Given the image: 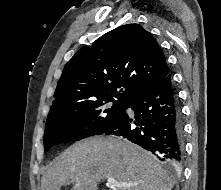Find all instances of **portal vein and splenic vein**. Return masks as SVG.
Returning a JSON list of instances; mask_svg holds the SVG:
<instances>
[{
    "label": "portal vein and splenic vein",
    "mask_w": 221,
    "mask_h": 190,
    "mask_svg": "<svg viewBox=\"0 0 221 190\" xmlns=\"http://www.w3.org/2000/svg\"><path fill=\"white\" fill-rule=\"evenodd\" d=\"M106 184L110 187H130L133 185L128 183H118L114 178H108Z\"/></svg>",
    "instance_id": "18ae733b"
}]
</instances>
